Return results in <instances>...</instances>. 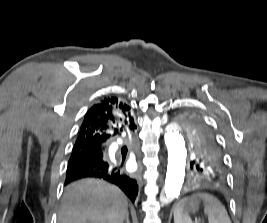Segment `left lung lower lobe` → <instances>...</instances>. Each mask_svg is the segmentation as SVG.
<instances>
[{"mask_svg": "<svg viewBox=\"0 0 267 223\" xmlns=\"http://www.w3.org/2000/svg\"><path fill=\"white\" fill-rule=\"evenodd\" d=\"M227 171H190V176L186 177V182H192L190 189H197L198 194H213V190H223L230 187V182H226Z\"/></svg>", "mask_w": 267, "mask_h": 223, "instance_id": "0a47b994", "label": "left lung lower lobe"}]
</instances>
